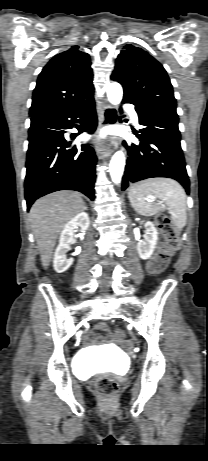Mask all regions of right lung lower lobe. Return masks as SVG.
Returning <instances> with one entry per match:
<instances>
[{"instance_id": "right-lung-lower-lobe-1", "label": "right lung lower lobe", "mask_w": 208, "mask_h": 461, "mask_svg": "<svg viewBox=\"0 0 208 461\" xmlns=\"http://www.w3.org/2000/svg\"><path fill=\"white\" fill-rule=\"evenodd\" d=\"M74 126L79 133L72 134V140L82 132L92 134L95 131L94 99L75 110L30 126L24 184L28 210L36 199L58 190H76L94 199L96 155L86 144L67 149L65 129Z\"/></svg>"}]
</instances>
